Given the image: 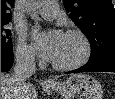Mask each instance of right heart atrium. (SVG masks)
<instances>
[{"instance_id": "right-heart-atrium-1", "label": "right heart atrium", "mask_w": 115, "mask_h": 99, "mask_svg": "<svg viewBox=\"0 0 115 99\" xmlns=\"http://www.w3.org/2000/svg\"><path fill=\"white\" fill-rule=\"evenodd\" d=\"M15 56L16 59L24 65H31L35 61L34 52L23 37L17 39Z\"/></svg>"}]
</instances>
